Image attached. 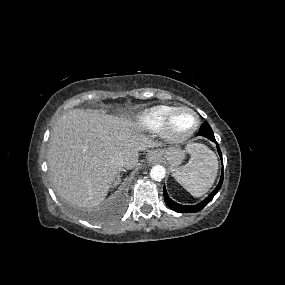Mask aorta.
I'll use <instances>...</instances> for the list:
<instances>
[{"label": "aorta", "instance_id": "aorta-1", "mask_svg": "<svg viewBox=\"0 0 285 285\" xmlns=\"http://www.w3.org/2000/svg\"><path fill=\"white\" fill-rule=\"evenodd\" d=\"M166 170L161 165H155L150 171V177L155 181H160L165 177Z\"/></svg>", "mask_w": 285, "mask_h": 285}]
</instances>
